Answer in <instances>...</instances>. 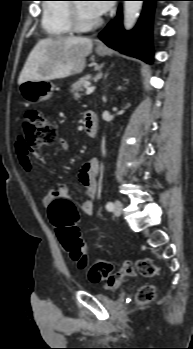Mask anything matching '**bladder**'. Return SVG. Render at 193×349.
<instances>
[{
    "label": "bladder",
    "mask_w": 193,
    "mask_h": 349,
    "mask_svg": "<svg viewBox=\"0 0 193 349\" xmlns=\"http://www.w3.org/2000/svg\"><path fill=\"white\" fill-rule=\"evenodd\" d=\"M95 296L99 299V300H107L109 299V294L105 293V292H100V293H96Z\"/></svg>",
    "instance_id": "bladder-1"
}]
</instances>
